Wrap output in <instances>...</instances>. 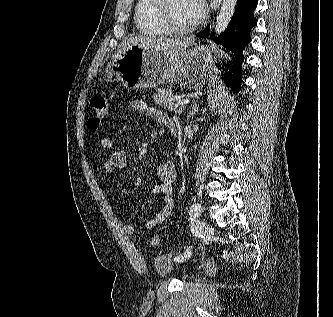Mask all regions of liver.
Instances as JSON below:
<instances>
[{"label":"liver","mask_w":333,"mask_h":317,"mask_svg":"<svg viewBox=\"0 0 333 317\" xmlns=\"http://www.w3.org/2000/svg\"><path fill=\"white\" fill-rule=\"evenodd\" d=\"M194 40V37L166 38L132 34L122 40L117 54L120 55L129 45H138L144 49L153 48L167 55L178 56L185 52L194 43Z\"/></svg>","instance_id":"6515ba94"}]
</instances>
